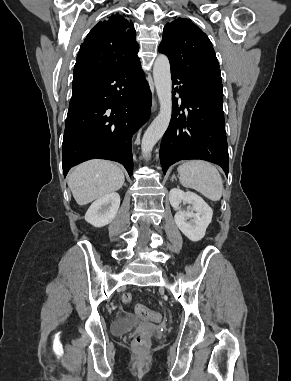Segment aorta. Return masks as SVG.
I'll list each match as a JSON object with an SVG mask.
<instances>
[{
    "instance_id": "aorta-1",
    "label": "aorta",
    "mask_w": 291,
    "mask_h": 381,
    "mask_svg": "<svg viewBox=\"0 0 291 381\" xmlns=\"http://www.w3.org/2000/svg\"><path fill=\"white\" fill-rule=\"evenodd\" d=\"M153 78L160 103V111L145 131L141 149L148 156L168 128L172 115V81L167 56L160 54L153 66Z\"/></svg>"
}]
</instances>
